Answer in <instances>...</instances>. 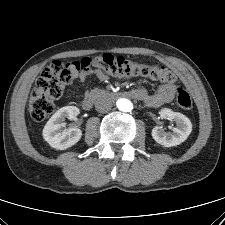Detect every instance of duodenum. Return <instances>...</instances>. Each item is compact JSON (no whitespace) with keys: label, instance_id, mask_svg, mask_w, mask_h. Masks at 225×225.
Masks as SVG:
<instances>
[{"label":"duodenum","instance_id":"1","mask_svg":"<svg viewBox=\"0 0 225 225\" xmlns=\"http://www.w3.org/2000/svg\"><path fill=\"white\" fill-rule=\"evenodd\" d=\"M123 96L135 97V91L132 92H121ZM118 94L112 91H106L102 89H96L92 91L88 96H86L82 102L81 106L85 110H90L97 99H100L105 96H117ZM136 98V97H135Z\"/></svg>","mask_w":225,"mask_h":225}]
</instances>
